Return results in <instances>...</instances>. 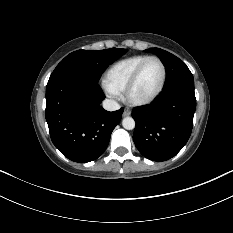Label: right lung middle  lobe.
<instances>
[{
    "instance_id": "dd1d6c3e",
    "label": "right lung middle lobe",
    "mask_w": 233,
    "mask_h": 233,
    "mask_svg": "<svg viewBox=\"0 0 233 233\" xmlns=\"http://www.w3.org/2000/svg\"><path fill=\"white\" fill-rule=\"evenodd\" d=\"M126 52V49L117 48L72 52L57 65L49 81L62 77H72L98 82L107 66Z\"/></svg>"
}]
</instances>
